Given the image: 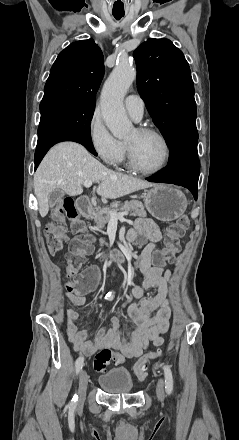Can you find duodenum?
Returning <instances> with one entry per match:
<instances>
[{"label": "duodenum", "mask_w": 239, "mask_h": 440, "mask_svg": "<svg viewBox=\"0 0 239 440\" xmlns=\"http://www.w3.org/2000/svg\"><path fill=\"white\" fill-rule=\"evenodd\" d=\"M76 207L78 212L83 216H88L92 212V205L87 196L79 197L76 201ZM103 258H107L115 262H122L124 260V254L119 250H113L104 254Z\"/></svg>", "instance_id": "1"}]
</instances>
